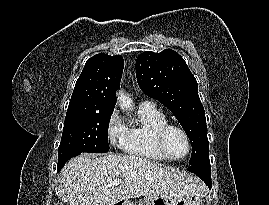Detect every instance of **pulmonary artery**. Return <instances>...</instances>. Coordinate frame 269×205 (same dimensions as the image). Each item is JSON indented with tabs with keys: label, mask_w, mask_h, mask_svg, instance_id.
<instances>
[{
	"label": "pulmonary artery",
	"mask_w": 269,
	"mask_h": 205,
	"mask_svg": "<svg viewBox=\"0 0 269 205\" xmlns=\"http://www.w3.org/2000/svg\"><path fill=\"white\" fill-rule=\"evenodd\" d=\"M142 105H145V106H155L156 103L154 101H144L142 103Z\"/></svg>",
	"instance_id": "1"
}]
</instances>
